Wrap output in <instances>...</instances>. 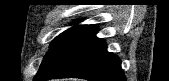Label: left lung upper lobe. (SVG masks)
<instances>
[{
	"mask_svg": "<svg viewBox=\"0 0 169 81\" xmlns=\"http://www.w3.org/2000/svg\"><path fill=\"white\" fill-rule=\"evenodd\" d=\"M76 23H78V21ZM87 26H89V25L74 26V27L64 31L59 36H57L53 40L48 53L44 57V59L41 63V66L39 68V71L37 72L35 78L48 72L53 67V65L58 61V59L60 58V56L62 55V53L64 52V50L68 46V44L70 43V41L80 31L85 29Z\"/></svg>",
	"mask_w": 169,
	"mask_h": 81,
	"instance_id": "1",
	"label": "left lung upper lobe"
}]
</instances>
